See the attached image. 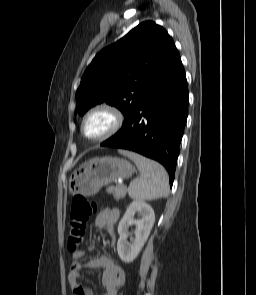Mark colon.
Returning a JSON list of instances; mask_svg holds the SVG:
<instances>
[{
    "label": "colon",
    "mask_w": 256,
    "mask_h": 295,
    "mask_svg": "<svg viewBox=\"0 0 256 295\" xmlns=\"http://www.w3.org/2000/svg\"><path fill=\"white\" fill-rule=\"evenodd\" d=\"M96 211V203L85 196L76 195L73 198L68 223L67 246L69 251L76 252L79 250L83 242L87 221Z\"/></svg>",
    "instance_id": "1"
}]
</instances>
